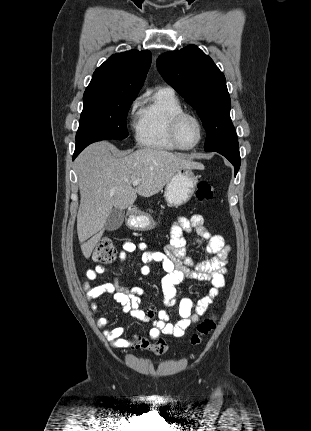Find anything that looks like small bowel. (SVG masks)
<instances>
[{"label":"small bowel","mask_w":311,"mask_h":431,"mask_svg":"<svg viewBox=\"0 0 311 431\" xmlns=\"http://www.w3.org/2000/svg\"><path fill=\"white\" fill-rule=\"evenodd\" d=\"M194 232L196 241L203 244L208 257L199 262H193L187 257L186 240L184 233ZM142 251L141 273L149 275L151 265L162 268L166 275L161 281L164 302L167 306L177 307L179 319L176 323L170 322L168 314L161 310L155 313L152 310L144 311L141 308L144 290L140 287L128 289L118 283H103L91 285L86 282L83 285L86 299L94 313L98 312L97 300L105 294H112L125 313L152 325L149 336L156 339L160 334L183 336L193 323L215 302L220 289L225 285L226 264L228 262L230 246L221 235L210 233L200 214H194L189 218L180 217L171 227L170 243L164 251L148 250L144 243L127 241L119 253V261H125L128 254ZM107 272L103 265L86 271V278L94 281L101 274ZM204 281L209 284L206 296L194 303L191 299L176 300L177 286L184 278ZM110 324L106 317H100L97 325L105 328ZM124 328L115 327L104 330V336L115 347H128L131 340L123 338Z\"/></svg>","instance_id":"1"}]
</instances>
